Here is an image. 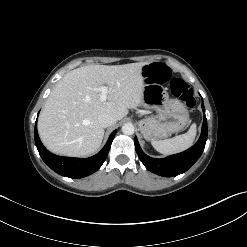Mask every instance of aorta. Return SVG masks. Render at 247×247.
<instances>
[{
	"instance_id": "1",
	"label": "aorta",
	"mask_w": 247,
	"mask_h": 247,
	"mask_svg": "<svg viewBox=\"0 0 247 247\" xmlns=\"http://www.w3.org/2000/svg\"><path fill=\"white\" fill-rule=\"evenodd\" d=\"M134 131H135L134 126L131 123H126L122 126V132L125 135H132L134 134Z\"/></svg>"
}]
</instances>
